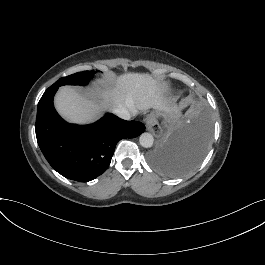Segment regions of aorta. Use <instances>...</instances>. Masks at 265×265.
I'll return each mask as SVG.
<instances>
[{"label": "aorta", "mask_w": 265, "mask_h": 265, "mask_svg": "<svg viewBox=\"0 0 265 265\" xmlns=\"http://www.w3.org/2000/svg\"><path fill=\"white\" fill-rule=\"evenodd\" d=\"M140 145L144 148H150L154 143V138L150 133H142L139 137Z\"/></svg>", "instance_id": "aorta-1"}]
</instances>
